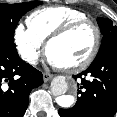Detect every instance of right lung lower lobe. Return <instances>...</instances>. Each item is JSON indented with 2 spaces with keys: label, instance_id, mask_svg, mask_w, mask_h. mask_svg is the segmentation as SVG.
Wrapping results in <instances>:
<instances>
[{
  "label": "right lung lower lobe",
  "instance_id": "obj_1",
  "mask_svg": "<svg viewBox=\"0 0 117 117\" xmlns=\"http://www.w3.org/2000/svg\"><path fill=\"white\" fill-rule=\"evenodd\" d=\"M42 83V73L25 63L16 48L0 43V117H23L29 93Z\"/></svg>",
  "mask_w": 117,
  "mask_h": 117
}]
</instances>
